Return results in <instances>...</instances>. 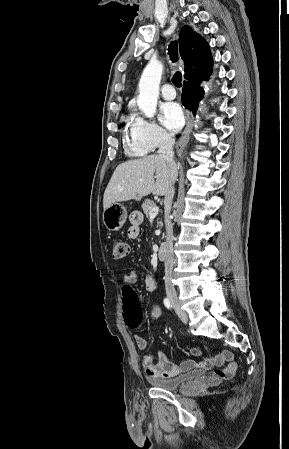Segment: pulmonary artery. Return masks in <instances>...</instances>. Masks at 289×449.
Here are the masks:
<instances>
[{
	"label": "pulmonary artery",
	"instance_id": "obj_1",
	"mask_svg": "<svg viewBox=\"0 0 289 449\" xmlns=\"http://www.w3.org/2000/svg\"><path fill=\"white\" fill-rule=\"evenodd\" d=\"M161 95L164 99L171 100L176 97V92L171 84H164L161 87Z\"/></svg>",
	"mask_w": 289,
	"mask_h": 449
}]
</instances>
